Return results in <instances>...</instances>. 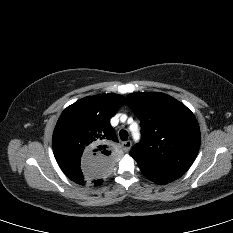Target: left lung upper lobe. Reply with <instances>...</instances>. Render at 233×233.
I'll list each match as a JSON object with an SVG mask.
<instances>
[{
    "label": "left lung upper lobe",
    "mask_w": 233,
    "mask_h": 233,
    "mask_svg": "<svg viewBox=\"0 0 233 233\" xmlns=\"http://www.w3.org/2000/svg\"><path fill=\"white\" fill-rule=\"evenodd\" d=\"M126 102L141 122V141L130 151L138 165L187 171L200 147V129L194 114L164 93L135 92Z\"/></svg>",
    "instance_id": "1"
}]
</instances>
